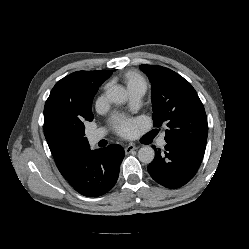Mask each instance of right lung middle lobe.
<instances>
[{"mask_svg": "<svg viewBox=\"0 0 249 249\" xmlns=\"http://www.w3.org/2000/svg\"><path fill=\"white\" fill-rule=\"evenodd\" d=\"M90 111H91V109H90ZM93 120V114H92V112H91V114H90V117L88 118V120L87 121H92ZM79 131L82 133V134H85V126H84V122H82L80 125H79Z\"/></svg>", "mask_w": 249, "mask_h": 249, "instance_id": "obj_1", "label": "right lung middle lobe"}]
</instances>
